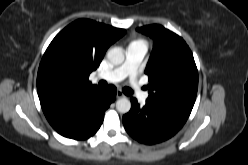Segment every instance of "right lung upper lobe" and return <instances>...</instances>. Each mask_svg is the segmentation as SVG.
I'll return each instance as SVG.
<instances>
[{
	"label": "right lung upper lobe",
	"instance_id": "obj_1",
	"mask_svg": "<svg viewBox=\"0 0 248 165\" xmlns=\"http://www.w3.org/2000/svg\"><path fill=\"white\" fill-rule=\"evenodd\" d=\"M126 31L88 19L65 27L52 40L41 60L37 91L46 118L73 110L101 89L88 80L108 47Z\"/></svg>",
	"mask_w": 248,
	"mask_h": 165
}]
</instances>
